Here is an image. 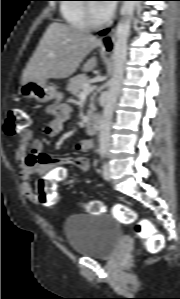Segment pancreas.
I'll return each mask as SVG.
<instances>
[{"mask_svg": "<svg viewBox=\"0 0 180 299\" xmlns=\"http://www.w3.org/2000/svg\"><path fill=\"white\" fill-rule=\"evenodd\" d=\"M84 84H89L88 77L84 74L77 75L76 77L70 79V81L68 82L67 91L74 96H79V93L83 90ZM93 111L94 106L92 105L88 112L89 117L93 115Z\"/></svg>", "mask_w": 180, "mask_h": 299, "instance_id": "obj_1", "label": "pancreas"}]
</instances>
